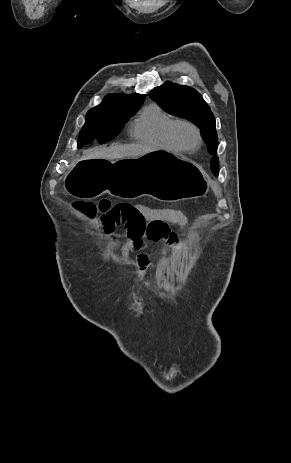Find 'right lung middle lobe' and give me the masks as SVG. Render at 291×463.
<instances>
[{
  "instance_id": "dd1d6c3e",
  "label": "right lung middle lobe",
  "mask_w": 291,
  "mask_h": 463,
  "mask_svg": "<svg viewBox=\"0 0 291 463\" xmlns=\"http://www.w3.org/2000/svg\"><path fill=\"white\" fill-rule=\"evenodd\" d=\"M142 103L124 109L96 108L88 111L80 131L78 148L97 140L103 144L113 139Z\"/></svg>"
}]
</instances>
